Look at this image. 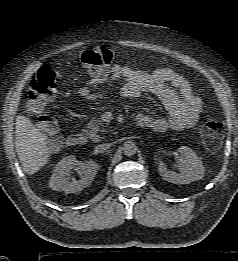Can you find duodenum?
<instances>
[{
    "label": "duodenum",
    "mask_w": 238,
    "mask_h": 261,
    "mask_svg": "<svg viewBox=\"0 0 238 261\" xmlns=\"http://www.w3.org/2000/svg\"><path fill=\"white\" fill-rule=\"evenodd\" d=\"M137 122L140 124L139 119H137ZM66 142L70 147H79L85 144L86 136L82 133L71 134L67 137Z\"/></svg>",
    "instance_id": "duodenum-1"
}]
</instances>
